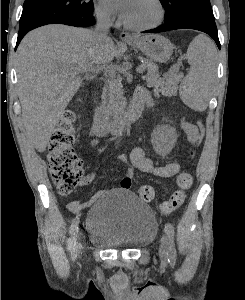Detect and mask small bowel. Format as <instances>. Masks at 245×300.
Wrapping results in <instances>:
<instances>
[{"label":"small bowel","mask_w":245,"mask_h":300,"mask_svg":"<svg viewBox=\"0 0 245 300\" xmlns=\"http://www.w3.org/2000/svg\"><path fill=\"white\" fill-rule=\"evenodd\" d=\"M139 92L146 93V91L144 90H140ZM180 125L182 131L186 134L187 139L191 145L195 144L200 139L199 130L196 125L189 123L184 119L181 120ZM90 135L92 137L91 145L94 146L100 140L105 139L109 135V133L99 127L97 124H94L90 131ZM118 158L131 166V168L125 173L120 182V187L126 190L131 188L132 179L136 171L149 173L161 178H171L178 174L180 170V166L177 162H171L163 166L155 165L153 161L146 156L144 149L139 146L134 147L128 155H118ZM95 175L96 174L94 172L88 174L83 179L82 184L87 185L92 182L95 178ZM100 195L101 192H98L90 200L84 203L77 200H71L67 203V208L73 213L80 212L82 209L90 206L93 202H95Z\"/></svg>","instance_id":"1"}]
</instances>
